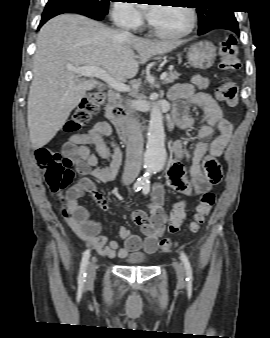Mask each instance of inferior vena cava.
<instances>
[{"instance_id": "602c4592", "label": "inferior vena cava", "mask_w": 270, "mask_h": 338, "mask_svg": "<svg viewBox=\"0 0 270 338\" xmlns=\"http://www.w3.org/2000/svg\"><path fill=\"white\" fill-rule=\"evenodd\" d=\"M122 35L126 37L133 36L129 31L123 30ZM126 137H127V148H126V161L123 172V180L131 181L134 180L140 173L142 164V153H143V136L141 133V127L138 120L127 112L126 120Z\"/></svg>"}]
</instances>
